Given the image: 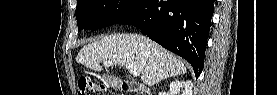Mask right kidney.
<instances>
[{
    "mask_svg": "<svg viewBox=\"0 0 277 95\" xmlns=\"http://www.w3.org/2000/svg\"><path fill=\"white\" fill-rule=\"evenodd\" d=\"M192 83L191 81L180 82V81H173L170 83L169 88L172 94H177L180 91L181 87H184L185 90L183 91V95H192Z\"/></svg>",
    "mask_w": 277,
    "mask_h": 95,
    "instance_id": "1",
    "label": "right kidney"
}]
</instances>
